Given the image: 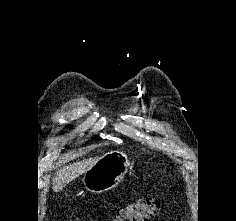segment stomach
<instances>
[{"mask_svg": "<svg viewBox=\"0 0 236 221\" xmlns=\"http://www.w3.org/2000/svg\"><path fill=\"white\" fill-rule=\"evenodd\" d=\"M129 166L126 154L119 151L109 152L84 173L85 188L92 193L108 191L121 181Z\"/></svg>", "mask_w": 236, "mask_h": 221, "instance_id": "0dacf381", "label": "stomach"}]
</instances>
